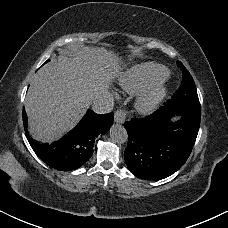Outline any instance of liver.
<instances>
[{
    "label": "liver",
    "instance_id": "1",
    "mask_svg": "<svg viewBox=\"0 0 228 228\" xmlns=\"http://www.w3.org/2000/svg\"><path fill=\"white\" fill-rule=\"evenodd\" d=\"M112 55L105 48L64 49L35 75L25 100L34 138L53 141L71 129L95 94L105 93Z\"/></svg>",
    "mask_w": 228,
    "mask_h": 228
}]
</instances>
